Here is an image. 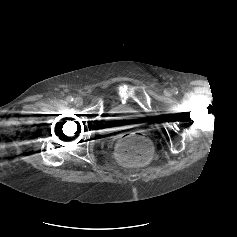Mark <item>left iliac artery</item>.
I'll use <instances>...</instances> for the list:
<instances>
[{"label": "left iliac artery", "mask_w": 237, "mask_h": 237, "mask_svg": "<svg viewBox=\"0 0 237 237\" xmlns=\"http://www.w3.org/2000/svg\"><path fill=\"white\" fill-rule=\"evenodd\" d=\"M174 92L177 93V89L176 88L174 89Z\"/></svg>", "instance_id": "obj_1"}]
</instances>
